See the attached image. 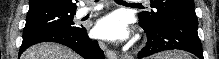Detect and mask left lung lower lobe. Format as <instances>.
I'll list each match as a JSON object with an SVG mask.
<instances>
[{
  "instance_id": "left-lung-lower-lobe-1",
  "label": "left lung lower lobe",
  "mask_w": 219,
  "mask_h": 59,
  "mask_svg": "<svg viewBox=\"0 0 219 59\" xmlns=\"http://www.w3.org/2000/svg\"><path fill=\"white\" fill-rule=\"evenodd\" d=\"M139 24L146 32L148 42L138 53V59L173 49L188 51L203 59L202 46L197 32L198 19L194 11H189L157 27Z\"/></svg>"
}]
</instances>
